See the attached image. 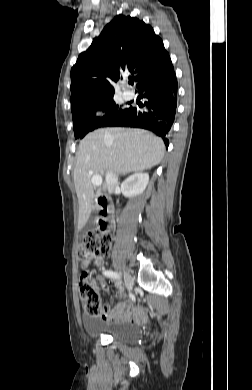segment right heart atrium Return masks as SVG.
<instances>
[{
    "label": "right heart atrium",
    "mask_w": 252,
    "mask_h": 390,
    "mask_svg": "<svg viewBox=\"0 0 252 390\" xmlns=\"http://www.w3.org/2000/svg\"><path fill=\"white\" fill-rule=\"evenodd\" d=\"M97 115H102V111H98V112H97Z\"/></svg>",
    "instance_id": "d8ad5b80"
}]
</instances>
